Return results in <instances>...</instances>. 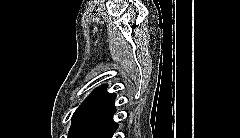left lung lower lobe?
<instances>
[{"label":"left lung lower lobe","mask_w":240,"mask_h":138,"mask_svg":"<svg viewBox=\"0 0 240 138\" xmlns=\"http://www.w3.org/2000/svg\"><path fill=\"white\" fill-rule=\"evenodd\" d=\"M115 98L116 95L96 113L78 138H112L118 128V124L113 121V115L116 112Z\"/></svg>","instance_id":"obj_1"}]
</instances>
